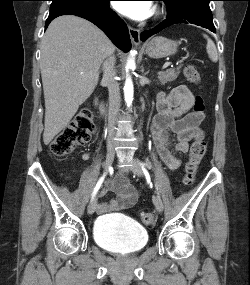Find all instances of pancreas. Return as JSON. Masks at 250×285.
Segmentation results:
<instances>
[{
	"instance_id": "pancreas-1",
	"label": "pancreas",
	"mask_w": 250,
	"mask_h": 285,
	"mask_svg": "<svg viewBox=\"0 0 250 285\" xmlns=\"http://www.w3.org/2000/svg\"><path fill=\"white\" fill-rule=\"evenodd\" d=\"M179 74L180 67H177L176 69H168L166 71H161L158 73V80L162 85H164L176 80Z\"/></svg>"
}]
</instances>
